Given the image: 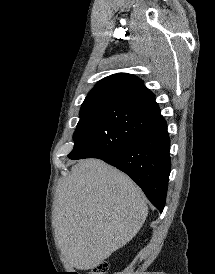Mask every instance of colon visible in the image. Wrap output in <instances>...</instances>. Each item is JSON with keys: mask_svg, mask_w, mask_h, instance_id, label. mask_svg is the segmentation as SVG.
Masks as SVG:
<instances>
[{"mask_svg": "<svg viewBox=\"0 0 215 274\" xmlns=\"http://www.w3.org/2000/svg\"><path fill=\"white\" fill-rule=\"evenodd\" d=\"M108 269V264L106 262L98 263L91 274H105Z\"/></svg>", "mask_w": 215, "mask_h": 274, "instance_id": "1", "label": "colon"}]
</instances>
